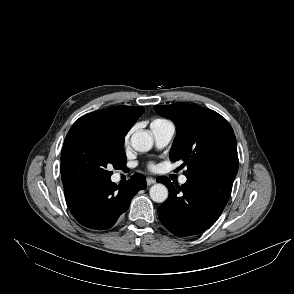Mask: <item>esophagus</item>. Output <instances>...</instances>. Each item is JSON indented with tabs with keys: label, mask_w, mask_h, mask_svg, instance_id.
<instances>
[{
	"label": "esophagus",
	"mask_w": 294,
	"mask_h": 294,
	"mask_svg": "<svg viewBox=\"0 0 294 294\" xmlns=\"http://www.w3.org/2000/svg\"><path fill=\"white\" fill-rule=\"evenodd\" d=\"M146 182H147V185L150 186V185L156 183V180L152 177H148Z\"/></svg>",
	"instance_id": "34e87169"
}]
</instances>
